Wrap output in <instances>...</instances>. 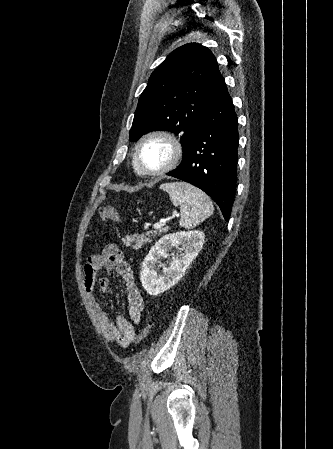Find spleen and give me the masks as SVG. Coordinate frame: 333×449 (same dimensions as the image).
Listing matches in <instances>:
<instances>
[{
	"mask_svg": "<svg viewBox=\"0 0 333 449\" xmlns=\"http://www.w3.org/2000/svg\"><path fill=\"white\" fill-rule=\"evenodd\" d=\"M169 194L174 206H180L179 225L189 229L212 215L214 208L211 199L199 188L184 182H172L161 185Z\"/></svg>",
	"mask_w": 333,
	"mask_h": 449,
	"instance_id": "obj_1",
	"label": "spleen"
}]
</instances>
